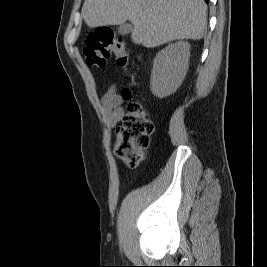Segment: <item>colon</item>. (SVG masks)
<instances>
[{
    "label": "colon",
    "instance_id": "colon-1",
    "mask_svg": "<svg viewBox=\"0 0 267 267\" xmlns=\"http://www.w3.org/2000/svg\"><path fill=\"white\" fill-rule=\"evenodd\" d=\"M83 53L85 62L90 67H105L112 55L120 68L127 70L129 67L128 48L109 28H98L88 35ZM122 95L128 100V107L122 124L117 129L114 151L117 158L128 167H136L145 157L154 125L145 107L132 100L128 88L123 90Z\"/></svg>",
    "mask_w": 267,
    "mask_h": 267
}]
</instances>
